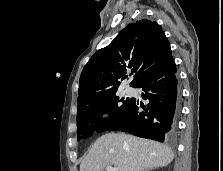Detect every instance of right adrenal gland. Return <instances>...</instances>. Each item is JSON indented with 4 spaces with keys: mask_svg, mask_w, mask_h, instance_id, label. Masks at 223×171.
Masks as SVG:
<instances>
[{
    "mask_svg": "<svg viewBox=\"0 0 223 171\" xmlns=\"http://www.w3.org/2000/svg\"><path fill=\"white\" fill-rule=\"evenodd\" d=\"M143 171H150V169H145V170H143Z\"/></svg>",
    "mask_w": 223,
    "mask_h": 171,
    "instance_id": "obj_1",
    "label": "right adrenal gland"
}]
</instances>
